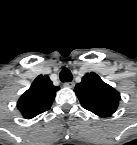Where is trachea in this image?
I'll use <instances>...</instances> for the list:
<instances>
[{
    "instance_id": "trachea-1",
    "label": "trachea",
    "mask_w": 137,
    "mask_h": 145,
    "mask_svg": "<svg viewBox=\"0 0 137 145\" xmlns=\"http://www.w3.org/2000/svg\"><path fill=\"white\" fill-rule=\"evenodd\" d=\"M60 80L62 82H70L72 81V73L69 69L64 68L62 69V71L60 72Z\"/></svg>"
}]
</instances>
